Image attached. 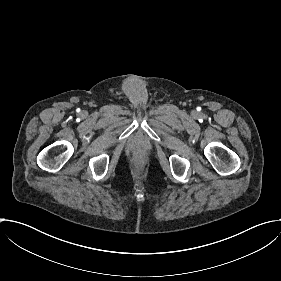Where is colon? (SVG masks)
I'll return each mask as SVG.
<instances>
[{"mask_svg": "<svg viewBox=\"0 0 281 281\" xmlns=\"http://www.w3.org/2000/svg\"><path fill=\"white\" fill-rule=\"evenodd\" d=\"M132 165L136 169H143L146 165V160L142 156L137 155V156L133 157Z\"/></svg>", "mask_w": 281, "mask_h": 281, "instance_id": "1", "label": "colon"}]
</instances>
